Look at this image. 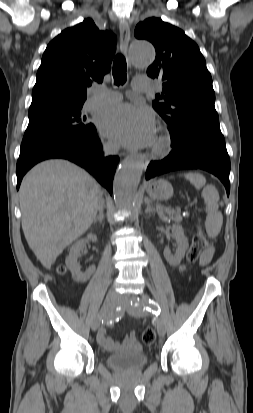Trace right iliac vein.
I'll use <instances>...</instances> for the list:
<instances>
[{"label":"right iliac vein","instance_id":"right-iliac-vein-1","mask_svg":"<svg viewBox=\"0 0 253 413\" xmlns=\"http://www.w3.org/2000/svg\"><path fill=\"white\" fill-rule=\"evenodd\" d=\"M118 303H119L118 296L113 292H109L105 297V300L102 306V313H105V314L109 313L117 306ZM99 326H100V318L97 317L92 322L91 328L93 331H96L99 328Z\"/></svg>","mask_w":253,"mask_h":413}]
</instances>
